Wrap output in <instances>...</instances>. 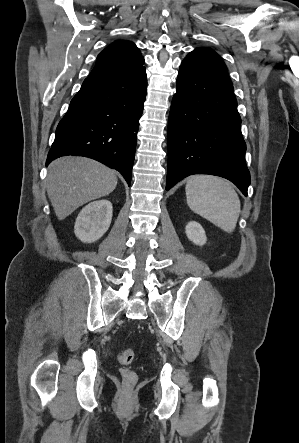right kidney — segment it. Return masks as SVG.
Returning <instances> with one entry per match:
<instances>
[{"label":"right kidney","instance_id":"ca27d5eb","mask_svg":"<svg viewBox=\"0 0 299 443\" xmlns=\"http://www.w3.org/2000/svg\"><path fill=\"white\" fill-rule=\"evenodd\" d=\"M112 220V204L108 200H98L85 206L78 214L74 233L85 243L99 240L108 230Z\"/></svg>","mask_w":299,"mask_h":443}]
</instances>
